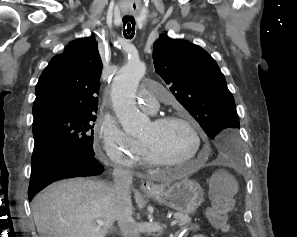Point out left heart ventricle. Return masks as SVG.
Listing matches in <instances>:
<instances>
[{
	"label": "left heart ventricle",
	"instance_id": "1",
	"mask_svg": "<svg viewBox=\"0 0 297 237\" xmlns=\"http://www.w3.org/2000/svg\"><path fill=\"white\" fill-rule=\"evenodd\" d=\"M139 140L147 143L155 152L168 160H183L196 149L193 135L182 123L155 124L150 121Z\"/></svg>",
	"mask_w": 297,
	"mask_h": 237
}]
</instances>
